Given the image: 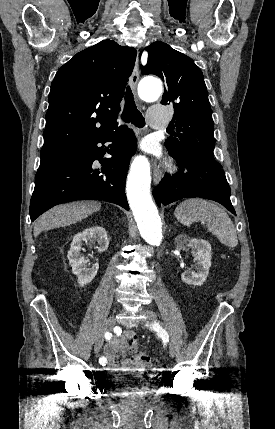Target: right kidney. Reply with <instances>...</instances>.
<instances>
[{
    "instance_id": "1",
    "label": "right kidney",
    "mask_w": 275,
    "mask_h": 429,
    "mask_svg": "<svg viewBox=\"0 0 275 429\" xmlns=\"http://www.w3.org/2000/svg\"><path fill=\"white\" fill-rule=\"evenodd\" d=\"M88 240L91 244L97 243L96 248L99 253L106 251L109 246L107 233L105 229L100 226L87 228L73 237L67 257L69 264L72 267V273L77 275L80 286L90 283L97 275L99 268L98 264H94L92 267H89L90 264L87 266L88 261L80 253L82 243H87Z\"/></svg>"
}]
</instances>
